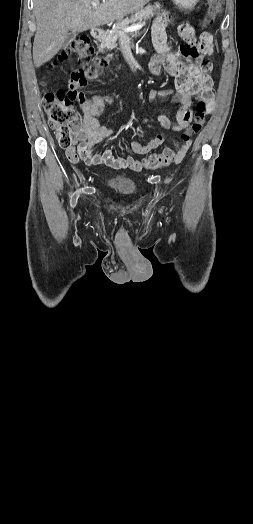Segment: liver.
<instances>
[{
	"label": "liver",
	"mask_w": 253,
	"mask_h": 524,
	"mask_svg": "<svg viewBox=\"0 0 253 524\" xmlns=\"http://www.w3.org/2000/svg\"><path fill=\"white\" fill-rule=\"evenodd\" d=\"M150 0H34L36 34L33 61L36 68L50 61L62 48L69 31L83 32L122 20ZM92 2H98L97 7Z\"/></svg>",
	"instance_id": "liver-1"
}]
</instances>
